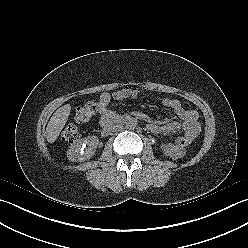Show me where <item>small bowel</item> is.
<instances>
[{
	"label": "small bowel",
	"instance_id": "small-bowel-1",
	"mask_svg": "<svg viewBox=\"0 0 248 248\" xmlns=\"http://www.w3.org/2000/svg\"><path fill=\"white\" fill-rule=\"evenodd\" d=\"M138 95L137 90L130 88H122L115 90L112 94L107 92L101 93L99 96V114L100 124L104 126L109 121L117 117V113L108 107L111 99L125 100L135 98ZM161 104L170 108L173 113L180 119L178 121H169L163 124L149 123L147 128L154 134H175L182 131L184 136L194 140L200 132V123L198 121V113L195 110L185 108L180 101L170 97H162Z\"/></svg>",
	"mask_w": 248,
	"mask_h": 248
}]
</instances>
